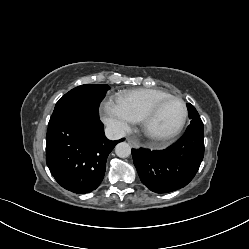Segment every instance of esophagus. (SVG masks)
Here are the masks:
<instances>
[{
    "label": "esophagus",
    "mask_w": 249,
    "mask_h": 249,
    "mask_svg": "<svg viewBox=\"0 0 249 249\" xmlns=\"http://www.w3.org/2000/svg\"><path fill=\"white\" fill-rule=\"evenodd\" d=\"M127 142H128L132 147H134V148H138V147H139V144H138L136 141H134V140H132V139H130V138H127Z\"/></svg>",
    "instance_id": "1"
}]
</instances>
